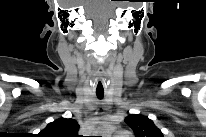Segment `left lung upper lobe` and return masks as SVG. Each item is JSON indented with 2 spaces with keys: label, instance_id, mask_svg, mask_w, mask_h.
Returning a JSON list of instances; mask_svg holds the SVG:
<instances>
[{
  "label": "left lung upper lobe",
  "instance_id": "5c2ea615",
  "mask_svg": "<svg viewBox=\"0 0 206 137\" xmlns=\"http://www.w3.org/2000/svg\"><path fill=\"white\" fill-rule=\"evenodd\" d=\"M125 122L136 137H163L161 130L146 116L131 114L125 118Z\"/></svg>",
  "mask_w": 206,
  "mask_h": 137
}]
</instances>
